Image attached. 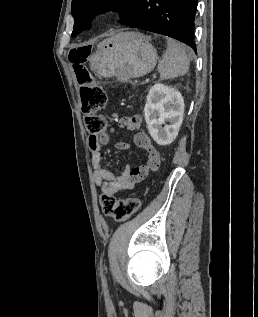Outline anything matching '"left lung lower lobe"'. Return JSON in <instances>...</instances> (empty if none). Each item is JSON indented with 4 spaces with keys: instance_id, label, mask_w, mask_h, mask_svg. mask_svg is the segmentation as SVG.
<instances>
[{
    "instance_id": "1",
    "label": "left lung lower lobe",
    "mask_w": 258,
    "mask_h": 317,
    "mask_svg": "<svg viewBox=\"0 0 258 317\" xmlns=\"http://www.w3.org/2000/svg\"><path fill=\"white\" fill-rule=\"evenodd\" d=\"M198 0H141L128 26L172 37L196 52L193 40Z\"/></svg>"
}]
</instances>
